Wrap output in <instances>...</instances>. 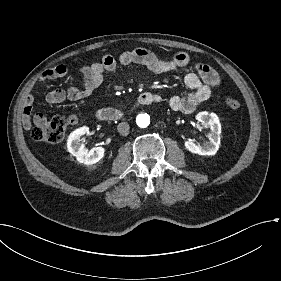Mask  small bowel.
<instances>
[{
    "label": "small bowel",
    "mask_w": 281,
    "mask_h": 281,
    "mask_svg": "<svg viewBox=\"0 0 281 281\" xmlns=\"http://www.w3.org/2000/svg\"><path fill=\"white\" fill-rule=\"evenodd\" d=\"M190 64V57L179 52L171 58H163L157 54L142 48L126 51L117 57L105 55L100 61L93 62L79 68L80 83L67 89H54L46 95V100L51 104L62 103L66 100L77 101L87 98L101 85L104 76L108 72H114L120 66L142 65L154 73L179 72ZM67 68L64 65H57L46 70L40 77V81L57 79L65 76ZM185 85L191 91L185 95H172L167 99L169 108L175 112L185 114L192 113L196 108L206 101L212 89L221 83L219 74L207 64H197L196 73L190 72L184 76ZM152 98L149 103H162L164 97L160 94L151 93ZM34 102L32 92L25 97V104L22 111V123L25 131L33 130L31 110ZM44 113H35L33 120L37 123L45 122Z\"/></svg>",
    "instance_id": "small-bowel-1"
}]
</instances>
